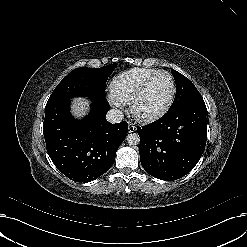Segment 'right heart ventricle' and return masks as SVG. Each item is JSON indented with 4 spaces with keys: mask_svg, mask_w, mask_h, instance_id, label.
<instances>
[{
    "mask_svg": "<svg viewBox=\"0 0 247 247\" xmlns=\"http://www.w3.org/2000/svg\"><path fill=\"white\" fill-rule=\"evenodd\" d=\"M159 69L136 67L117 75L111 84V95L123 104L128 103L141 85Z\"/></svg>",
    "mask_w": 247,
    "mask_h": 247,
    "instance_id": "obj_1",
    "label": "right heart ventricle"
}]
</instances>
